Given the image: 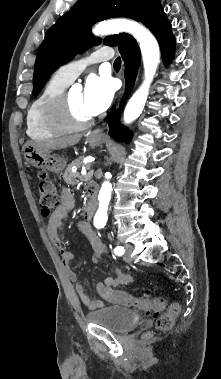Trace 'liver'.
Returning a JSON list of instances; mask_svg holds the SVG:
<instances>
[{"label":"liver","mask_w":221,"mask_h":379,"mask_svg":"<svg viewBox=\"0 0 221 379\" xmlns=\"http://www.w3.org/2000/svg\"><path fill=\"white\" fill-rule=\"evenodd\" d=\"M81 137H82L81 134H74V135H69V136H64L60 138L44 140V141H28L24 145L23 149H25L29 145L42 149V150H46V151L63 149L68 146H73L77 144L79 140L81 139Z\"/></svg>","instance_id":"1"}]
</instances>
